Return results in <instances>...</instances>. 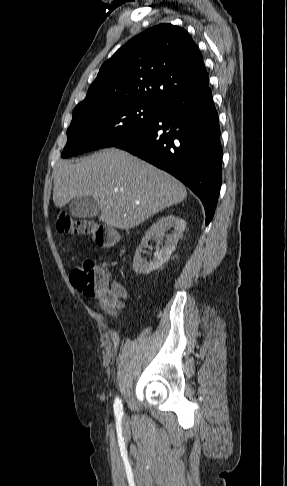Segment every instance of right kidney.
I'll return each mask as SVG.
<instances>
[{
    "label": "right kidney",
    "instance_id": "1",
    "mask_svg": "<svg viewBox=\"0 0 287 486\" xmlns=\"http://www.w3.org/2000/svg\"><path fill=\"white\" fill-rule=\"evenodd\" d=\"M173 229L170 235H165L168 229ZM186 228V222L176 216L168 215L158 219L146 232L141 244L137 248L133 258V269L139 274H149L153 270L160 268L171 256L175 250L178 240L181 238ZM157 237L160 246L156 247L154 258L147 262L142 258L144 248L148 245L150 239ZM165 240L163 246L162 241Z\"/></svg>",
    "mask_w": 287,
    "mask_h": 486
}]
</instances>
